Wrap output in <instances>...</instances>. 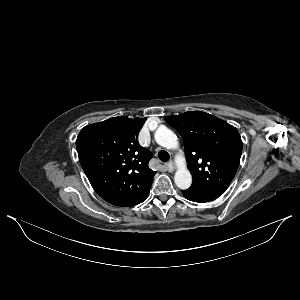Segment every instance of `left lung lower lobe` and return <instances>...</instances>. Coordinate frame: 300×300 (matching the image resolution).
Masks as SVG:
<instances>
[{"instance_id": "0a47b994", "label": "left lung lower lobe", "mask_w": 300, "mask_h": 300, "mask_svg": "<svg viewBox=\"0 0 300 300\" xmlns=\"http://www.w3.org/2000/svg\"><path fill=\"white\" fill-rule=\"evenodd\" d=\"M182 193L185 196V198H187L188 200L198 202V203L209 202L221 196V194L219 193L204 192L193 188L184 190L182 191Z\"/></svg>"}]
</instances>
